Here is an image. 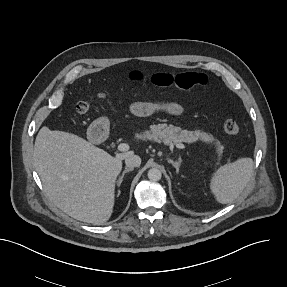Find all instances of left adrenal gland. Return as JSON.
I'll use <instances>...</instances> for the list:
<instances>
[{
    "mask_svg": "<svg viewBox=\"0 0 287 287\" xmlns=\"http://www.w3.org/2000/svg\"><path fill=\"white\" fill-rule=\"evenodd\" d=\"M167 161L168 163L172 164L175 167L176 172L179 173L180 162L173 161L172 159L169 158H167Z\"/></svg>",
    "mask_w": 287,
    "mask_h": 287,
    "instance_id": "left-adrenal-gland-1",
    "label": "left adrenal gland"
}]
</instances>
